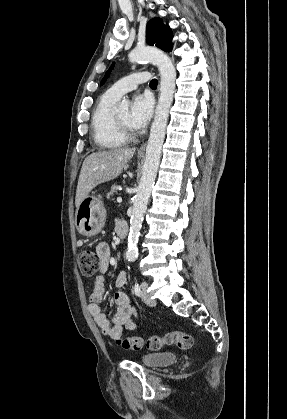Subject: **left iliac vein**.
Masks as SVG:
<instances>
[{
	"instance_id": "1",
	"label": "left iliac vein",
	"mask_w": 287,
	"mask_h": 419,
	"mask_svg": "<svg viewBox=\"0 0 287 419\" xmlns=\"http://www.w3.org/2000/svg\"><path fill=\"white\" fill-rule=\"evenodd\" d=\"M141 288H142L141 298H142L143 302L148 306H154L155 301L153 299H151L149 294L147 293L148 284L146 282H142Z\"/></svg>"
}]
</instances>
